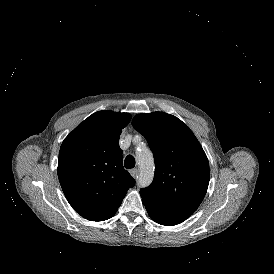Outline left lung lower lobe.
<instances>
[{
	"label": "left lung lower lobe",
	"mask_w": 274,
	"mask_h": 274,
	"mask_svg": "<svg viewBox=\"0 0 274 274\" xmlns=\"http://www.w3.org/2000/svg\"><path fill=\"white\" fill-rule=\"evenodd\" d=\"M140 194L148 214L159 224L176 225L186 220L193 213L192 211L172 206L142 189Z\"/></svg>",
	"instance_id": "1"
}]
</instances>
